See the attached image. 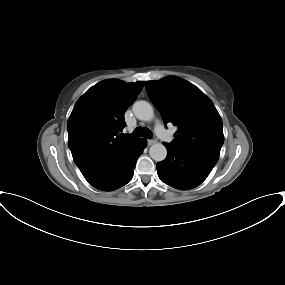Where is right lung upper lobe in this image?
Instances as JSON below:
<instances>
[{
	"instance_id": "obj_1",
	"label": "right lung upper lobe",
	"mask_w": 285,
	"mask_h": 285,
	"mask_svg": "<svg viewBox=\"0 0 285 285\" xmlns=\"http://www.w3.org/2000/svg\"><path fill=\"white\" fill-rule=\"evenodd\" d=\"M144 82L125 83L109 79L91 87L76 102L69 117L68 145L82 173L139 138L120 132L124 113L136 100Z\"/></svg>"
}]
</instances>
